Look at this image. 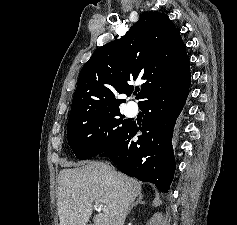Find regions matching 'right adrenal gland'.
<instances>
[{"label":"right adrenal gland","mask_w":237,"mask_h":225,"mask_svg":"<svg viewBox=\"0 0 237 225\" xmlns=\"http://www.w3.org/2000/svg\"><path fill=\"white\" fill-rule=\"evenodd\" d=\"M138 204H144V202L142 201V194L138 197L136 202H134L130 205V207L128 208L127 214H129L131 212V210L133 209V207L138 205Z\"/></svg>","instance_id":"obj_1"}]
</instances>
